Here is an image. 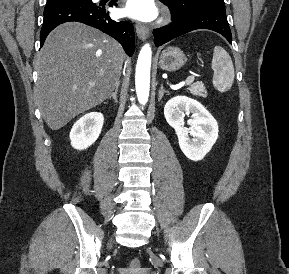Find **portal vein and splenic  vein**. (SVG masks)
Returning a JSON list of instances; mask_svg holds the SVG:
<instances>
[{
  "label": "portal vein and splenic vein",
  "instance_id": "portal-vein-and-splenic-vein-1",
  "mask_svg": "<svg viewBox=\"0 0 289 274\" xmlns=\"http://www.w3.org/2000/svg\"><path fill=\"white\" fill-rule=\"evenodd\" d=\"M195 80V76H189L186 81L184 82H181L180 85L183 86V85H190L191 83H193Z\"/></svg>",
  "mask_w": 289,
  "mask_h": 274
}]
</instances>
